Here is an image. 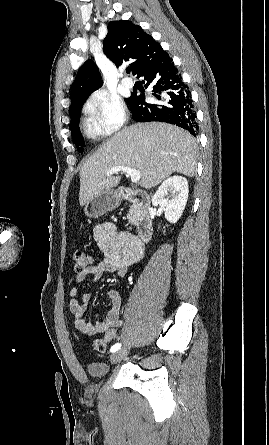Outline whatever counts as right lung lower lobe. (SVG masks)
Masks as SVG:
<instances>
[{"mask_svg": "<svg viewBox=\"0 0 269 445\" xmlns=\"http://www.w3.org/2000/svg\"><path fill=\"white\" fill-rule=\"evenodd\" d=\"M137 76L144 77L146 88L153 86L151 96L157 100L147 103L144 94H132L129 107L134 120L167 122L188 130L194 136L198 134L190 92L168 53L147 65Z\"/></svg>", "mask_w": 269, "mask_h": 445, "instance_id": "right-lung-lower-lobe-1", "label": "right lung lower lobe"}]
</instances>
